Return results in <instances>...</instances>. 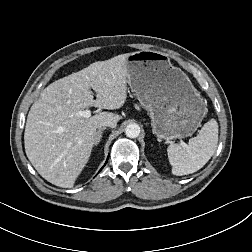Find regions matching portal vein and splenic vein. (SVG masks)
Segmentation results:
<instances>
[{
  "instance_id": "1",
  "label": "portal vein and splenic vein",
  "mask_w": 252,
  "mask_h": 252,
  "mask_svg": "<svg viewBox=\"0 0 252 252\" xmlns=\"http://www.w3.org/2000/svg\"><path fill=\"white\" fill-rule=\"evenodd\" d=\"M77 116L89 118L91 116V111L90 110H83V111H78L75 113Z\"/></svg>"
}]
</instances>
